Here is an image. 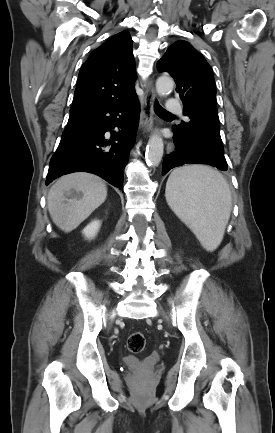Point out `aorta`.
<instances>
[{
    "instance_id": "obj_1",
    "label": "aorta",
    "mask_w": 275,
    "mask_h": 433,
    "mask_svg": "<svg viewBox=\"0 0 275 433\" xmlns=\"http://www.w3.org/2000/svg\"><path fill=\"white\" fill-rule=\"evenodd\" d=\"M174 87V81L168 76L157 79L156 90L159 95H166ZM164 152L163 139L159 135H152L146 148V162L151 166H158Z\"/></svg>"
}]
</instances>
